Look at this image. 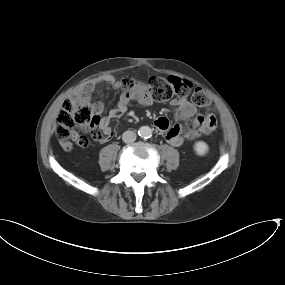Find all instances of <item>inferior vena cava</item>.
<instances>
[{"label":"inferior vena cava","mask_w":285,"mask_h":285,"mask_svg":"<svg viewBox=\"0 0 285 285\" xmlns=\"http://www.w3.org/2000/svg\"><path fill=\"white\" fill-rule=\"evenodd\" d=\"M136 133L134 131H125L122 135V140L125 142V143H132L136 140Z\"/></svg>","instance_id":"1"}]
</instances>
